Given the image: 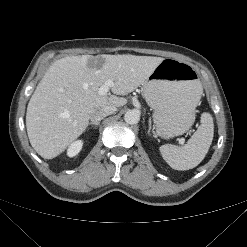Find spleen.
I'll return each mask as SVG.
<instances>
[{"label": "spleen", "instance_id": "1", "mask_svg": "<svg viewBox=\"0 0 247 247\" xmlns=\"http://www.w3.org/2000/svg\"><path fill=\"white\" fill-rule=\"evenodd\" d=\"M214 136L212 116L201 115V125L184 146L164 144L159 150L163 159L175 170H189L205 158Z\"/></svg>", "mask_w": 247, "mask_h": 247}]
</instances>
